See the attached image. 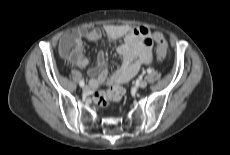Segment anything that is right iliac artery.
<instances>
[{"label":"right iliac artery","instance_id":"obj_1","mask_svg":"<svg viewBox=\"0 0 230 155\" xmlns=\"http://www.w3.org/2000/svg\"><path fill=\"white\" fill-rule=\"evenodd\" d=\"M84 81L83 80H81L80 82H79V85L81 86V87H83L84 86Z\"/></svg>","mask_w":230,"mask_h":155}]
</instances>
